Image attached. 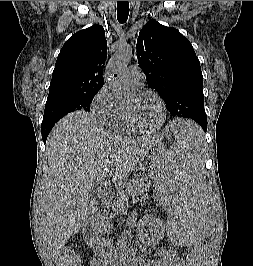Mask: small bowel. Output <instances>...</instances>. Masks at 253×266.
<instances>
[{
    "mask_svg": "<svg viewBox=\"0 0 253 266\" xmlns=\"http://www.w3.org/2000/svg\"><path fill=\"white\" fill-rule=\"evenodd\" d=\"M158 259L145 260L138 253L132 252L121 260H115L116 264L123 266H184L177 251L160 248L156 251ZM115 264V265H116ZM103 261L94 260L91 266H103Z\"/></svg>",
    "mask_w": 253,
    "mask_h": 266,
    "instance_id": "obj_1",
    "label": "small bowel"
}]
</instances>
